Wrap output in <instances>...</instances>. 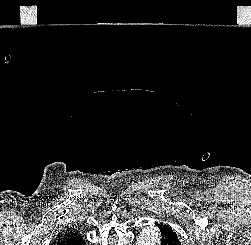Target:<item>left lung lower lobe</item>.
Returning a JSON list of instances; mask_svg holds the SVG:
<instances>
[{
	"instance_id": "obj_1",
	"label": "left lung lower lobe",
	"mask_w": 251,
	"mask_h": 245,
	"mask_svg": "<svg viewBox=\"0 0 251 245\" xmlns=\"http://www.w3.org/2000/svg\"><path fill=\"white\" fill-rule=\"evenodd\" d=\"M160 245H181L176 233L166 224H157Z\"/></svg>"
}]
</instances>
